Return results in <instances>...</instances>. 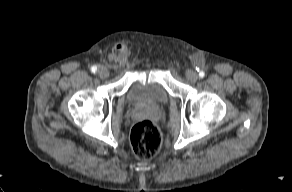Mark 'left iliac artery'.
Listing matches in <instances>:
<instances>
[{
    "instance_id": "44dca946",
    "label": "left iliac artery",
    "mask_w": 292,
    "mask_h": 192,
    "mask_svg": "<svg viewBox=\"0 0 292 192\" xmlns=\"http://www.w3.org/2000/svg\"><path fill=\"white\" fill-rule=\"evenodd\" d=\"M204 76H205V73H204L203 71H200V72H199V77H200V78H203Z\"/></svg>"
}]
</instances>
